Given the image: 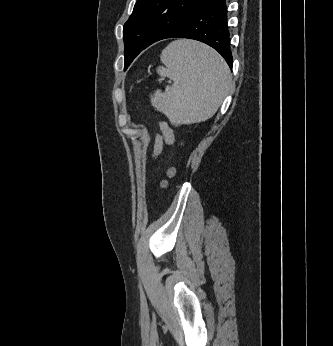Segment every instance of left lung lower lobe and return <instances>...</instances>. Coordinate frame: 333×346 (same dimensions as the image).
Returning <instances> with one entry per match:
<instances>
[{
  "label": "left lung lower lobe",
  "mask_w": 333,
  "mask_h": 346,
  "mask_svg": "<svg viewBox=\"0 0 333 346\" xmlns=\"http://www.w3.org/2000/svg\"><path fill=\"white\" fill-rule=\"evenodd\" d=\"M227 19L225 0H205L161 39L188 38L206 43L217 50L232 68Z\"/></svg>",
  "instance_id": "obj_1"
}]
</instances>
